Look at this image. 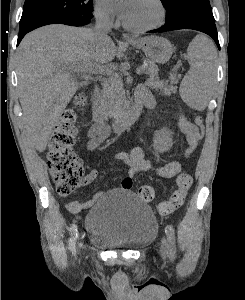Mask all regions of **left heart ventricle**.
<instances>
[{
	"label": "left heart ventricle",
	"mask_w": 245,
	"mask_h": 300,
	"mask_svg": "<svg viewBox=\"0 0 245 300\" xmlns=\"http://www.w3.org/2000/svg\"><path fill=\"white\" fill-rule=\"evenodd\" d=\"M159 16L154 0H128L123 19L134 26H148L157 22Z\"/></svg>",
	"instance_id": "left-heart-ventricle-1"
}]
</instances>
